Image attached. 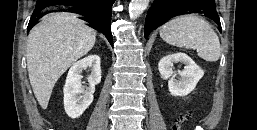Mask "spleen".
Returning <instances> with one entry per match:
<instances>
[{
  "label": "spleen",
  "instance_id": "3e777b00",
  "mask_svg": "<svg viewBox=\"0 0 257 130\" xmlns=\"http://www.w3.org/2000/svg\"><path fill=\"white\" fill-rule=\"evenodd\" d=\"M160 37L170 45L194 49L200 58L216 62L220 58V42L216 32L203 18L178 16L160 28Z\"/></svg>",
  "mask_w": 257,
  "mask_h": 130
}]
</instances>
